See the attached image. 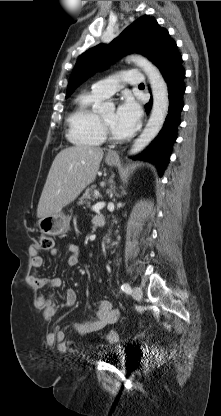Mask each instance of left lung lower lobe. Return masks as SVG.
Listing matches in <instances>:
<instances>
[{
    "mask_svg": "<svg viewBox=\"0 0 221 416\" xmlns=\"http://www.w3.org/2000/svg\"><path fill=\"white\" fill-rule=\"evenodd\" d=\"M150 60L159 68L168 87L169 110L162 130L151 143L140 159L155 164L162 176L169 163L172 146L177 139V127L180 125V114L183 109V94L185 92V71L182 68V57L177 50L176 43L170 38L168 31L161 37ZM152 106V99L145 105L148 112Z\"/></svg>",
    "mask_w": 221,
    "mask_h": 416,
    "instance_id": "left-lung-lower-lobe-1",
    "label": "left lung lower lobe"
}]
</instances>
